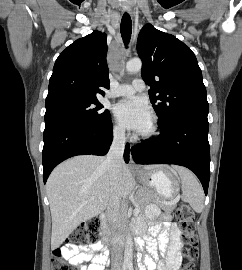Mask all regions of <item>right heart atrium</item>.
Segmentation results:
<instances>
[{
  "instance_id": "1",
  "label": "right heart atrium",
  "mask_w": 242,
  "mask_h": 270,
  "mask_svg": "<svg viewBox=\"0 0 242 270\" xmlns=\"http://www.w3.org/2000/svg\"><path fill=\"white\" fill-rule=\"evenodd\" d=\"M112 133L115 138L122 139L125 135L124 127L117 121L112 122Z\"/></svg>"
}]
</instances>
